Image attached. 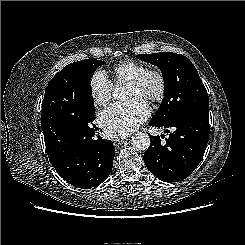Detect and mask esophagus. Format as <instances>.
Returning <instances> with one entry per match:
<instances>
[{"label":"esophagus","instance_id":"1","mask_svg":"<svg viewBox=\"0 0 245 245\" xmlns=\"http://www.w3.org/2000/svg\"><path fill=\"white\" fill-rule=\"evenodd\" d=\"M123 142H124L123 139H115V140H114V143H115V144H122Z\"/></svg>","mask_w":245,"mask_h":245}]
</instances>
